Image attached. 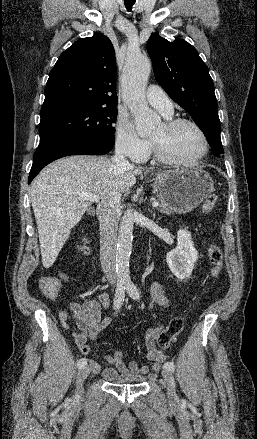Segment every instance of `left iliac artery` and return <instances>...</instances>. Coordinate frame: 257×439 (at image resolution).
Returning <instances> with one entry per match:
<instances>
[{
    "label": "left iliac artery",
    "mask_w": 257,
    "mask_h": 439,
    "mask_svg": "<svg viewBox=\"0 0 257 439\" xmlns=\"http://www.w3.org/2000/svg\"><path fill=\"white\" fill-rule=\"evenodd\" d=\"M125 289L129 296L132 297L134 300H138L140 298L139 290L132 282H127L125 284ZM164 368L170 372H173L175 370V365L173 362L168 361L164 364Z\"/></svg>",
    "instance_id": "obj_1"
}]
</instances>
